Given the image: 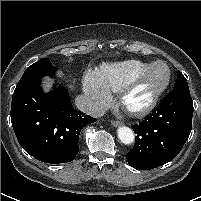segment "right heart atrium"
Masks as SVG:
<instances>
[{
    "mask_svg": "<svg viewBox=\"0 0 201 201\" xmlns=\"http://www.w3.org/2000/svg\"><path fill=\"white\" fill-rule=\"evenodd\" d=\"M84 103L86 110L99 114L106 108L112 98L110 89L100 79L97 71H88L83 79Z\"/></svg>",
    "mask_w": 201,
    "mask_h": 201,
    "instance_id": "1",
    "label": "right heart atrium"
}]
</instances>
